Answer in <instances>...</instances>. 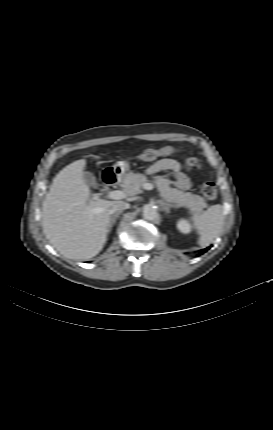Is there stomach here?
Listing matches in <instances>:
<instances>
[{
	"mask_svg": "<svg viewBox=\"0 0 273 430\" xmlns=\"http://www.w3.org/2000/svg\"><path fill=\"white\" fill-rule=\"evenodd\" d=\"M129 163L124 161V162H117L114 165V171L116 172V174L122 178H125L127 172L129 171Z\"/></svg>",
	"mask_w": 273,
	"mask_h": 430,
	"instance_id": "0dacf381",
	"label": "stomach"
}]
</instances>
